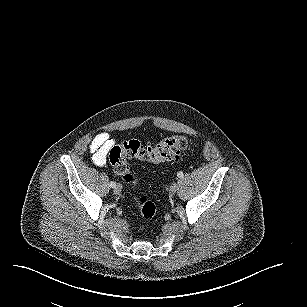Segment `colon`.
I'll list each match as a JSON object with an SVG mask.
<instances>
[{
    "label": "colon",
    "instance_id": "colon-1",
    "mask_svg": "<svg viewBox=\"0 0 307 307\" xmlns=\"http://www.w3.org/2000/svg\"><path fill=\"white\" fill-rule=\"evenodd\" d=\"M188 145L189 140L183 135L167 137L155 145H143L137 140H129L110 149L109 161L115 172L121 175L126 183L135 186L137 177L130 169L128 162L130 159L156 164L165 163L175 159ZM132 203L144 221H150L155 216L156 205L148 197L134 196Z\"/></svg>",
    "mask_w": 307,
    "mask_h": 307
}]
</instances>
